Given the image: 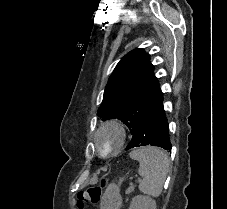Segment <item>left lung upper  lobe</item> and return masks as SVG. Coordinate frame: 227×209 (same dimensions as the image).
I'll return each instance as SVG.
<instances>
[{"instance_id": "5c2ea615", "label": "left lung upper lobe", "mask_w": 227, "mask_h": 209, "mask_svg": "<svg viewBox=\"0 0 227 209\" xmlns=\"http://www.w3.org/2000/svg\"><path fill=\"white\" fill-rule=\"evenodd\" d=\"M153 71L150 56L143 49L126 54L109 77L97 115L103 120H121L133 139L142 116L162 95Z\"/></svg>"}]
</instances>
